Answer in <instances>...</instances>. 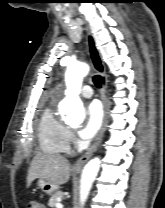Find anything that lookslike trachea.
I'll list each match as a JSON object with an SVG mask.
<instances>
[{"mask_svg": "<svg viewBox=\"0 0 165 208\" xmlns=\"http://www.w3.org/2000/svg\"><path fill=\"white\" fill-rule=\"evenodd\" d=\"M93 82L96 85V87L101 88V77L99 75H95L93 77Z\"/></svg>", "mask_w": 165, "mask_h": 208, "instance_id": "trachea-1", "label": "trachea"}]
</instances>
